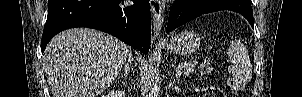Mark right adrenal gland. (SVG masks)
I'll return each mask as SVG.
<instances>
[{
	"instance_id": "obj_1",
	"label": "right adrenal gland",
	"mask_w": 302,
	"mask_h": 97,
	"mask_svg": "<svg viewBox=\"0 0 302 97\" xmlns=\"http://www.w3.org/2000/svg\"><path fill=\"white\" fill-rule=\"evenodd\" d=\"M129 66L128 65H124V72L123 73H120L119 77L123 78H128V75H129Z\"/></svg>"
}]
</instances>
